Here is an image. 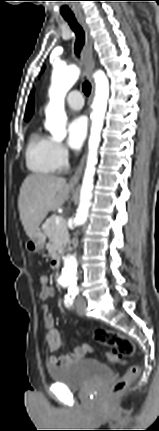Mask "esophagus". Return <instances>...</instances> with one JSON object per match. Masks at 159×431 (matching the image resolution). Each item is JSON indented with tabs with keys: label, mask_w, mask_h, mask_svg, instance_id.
<instances>
[{
	"label": "esophagus",
	"mask_w": 159,
	"mask_h": 431,
	"mask_svg": "<svg viewBox=\"0 0 159 431\" xmlns=\"http://www.w3.org/2000/svg\"><path fill=\"white\" fill-rule=\"evenodd\" d=\"M79 22L82 25L83 30H84V34H85V43H84V47H83V51H82V57H83V61L85 63V66H86V69H87V72H88V75H89V78L91 81V85H92L91 95H90V102H91L92 98L94 96V87H95L94 81H93V71H94V67H95L94 54H93V39H92V36L90 34L89 27L82 17L79 18ZM85 161H86V153L81 158V161H80L78 167L76 168L73 176L71 177L70 181L72 183H77L79 181L80 177L82 176Z\"/></svg>",
	"instance_id": "obj_1"
}]
</instances>
